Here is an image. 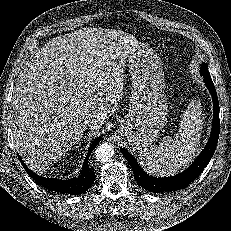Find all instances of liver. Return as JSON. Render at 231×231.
<instances>
[{"instance_id":"obj_1","label":"liver","mask_w":231,"mask_h":231,"mask_svg":"<svg viewBox=\"0 0 231 231\" xmlns=\"http://www.w3.org/2000/svg\"><path fill=\"white\" fill-rule=\"evenodd\" d=\"M121 30L88 27L51 39L20 72L12 96L15 147L34 170H46L79 142L86 121L96 132L122 98L121 58L139 48Z\"/></svg>"}]
</instances>
